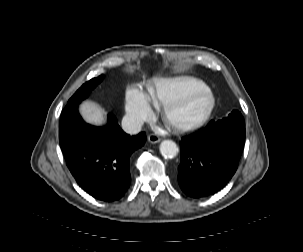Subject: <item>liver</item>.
Masks as SVG:
<instances>
[{
  "label": "liver",
  "instance_id": "liver-1",
  "mask_svg": "<svg viewBox=\"0 0 303 252\" xmlns=\"http://www.w3.org/2000/svg\"><path fill=\"white\" fill-rule=\"evenodd\" d=\"M81 115L94 125H102L105 122V112L93 102H84L80 106Z\"/></svg>",
  "mask_w": 303,
  "mask_h": 252
}]
</instances>
